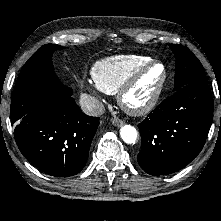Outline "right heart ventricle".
Instances as JSON below:
<instances>
[{
    "label": "right heart ventricle",
    "mask_w": 221,
    "mask_h": 221,
    "mask_svg": "<svg viewBox=\"0 0 221 221\" xmlns=\"http://www.w3.org/2000/svg\"><path fill=\"white\" fill-rule=\"evenodd\" d=\"M152 58L143 55H116L94 63L91 76L95 85L107 94H115L130 75Z\"/></svg>",
    "instance_id": "obj_1"
}]
</instances>
